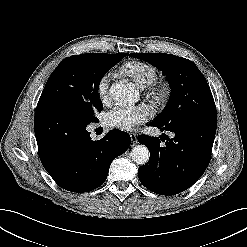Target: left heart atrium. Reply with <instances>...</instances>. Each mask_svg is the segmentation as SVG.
Here are the masks:
<instances>
[{
    "mask_svg": "<svg viewBox=\"0 0 247 247\" xmlns=\"http://www.w3.org/2000/svg\"><path fill=\"white\" fill-rule=\"evenodd\" d=\"M152 108L148 105L125 106L118 105L106 116V124L122 130H131L152 116Z\"/></svg>",
    "mask_w": 247,
    "mask_h": 247,
    "instance_id": "left-heart-atrium-1",
    "label": "left heart atrium"
}]
</instances>
